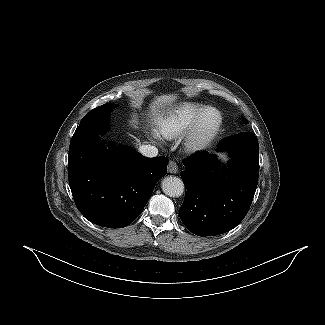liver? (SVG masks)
<instances>
[{"label": "liver", "mask_w": 325, "mask_h": 325, "mask_svg": "<svg viewBox=\"0 0 325 325\" xmlns=\"http://www.w3.org/2000/svg\"><path fill=\"white\" fill-rule=\"evenodd\" d=\"M177 99V96L173 95H163L158 98L151 104L152 115L154 119H159L161 116V109L165 108L167 105H170Z\"/></svg>", "instance_id": "6515ba94"}]
</instances>
